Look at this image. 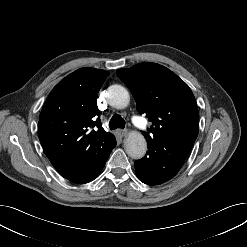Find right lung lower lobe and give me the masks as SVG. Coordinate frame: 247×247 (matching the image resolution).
I'll return each instance as SVG.
<instances>
[{"instance_id": "1", "label": "right lung lower lobe", "mask_w": 247, "mask_h": 247, "mask_svg": "<svg viewBox=\"0 0 247 247\" xmlns=\"http://www.w3.org/2000/svg\"><path fill=\"white\" fill-rule=\"evenodd\" d=\"M116 146V140L103 154L94 156L88 161L72 167L62 173L64 178L77 184H84L94 180L103 169L111 151Z\"/></svg>"}]
</instances>
